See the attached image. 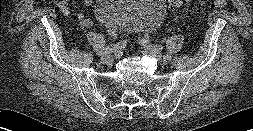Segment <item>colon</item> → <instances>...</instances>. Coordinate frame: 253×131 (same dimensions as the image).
I'll list each match as a JSON object with an SVG mask.
<instances>
[{
  "instance_id": "colon-1",
  "label": "colon",
  "mask_w": 253,
  "mask_h": 131,
  "mask_svg": "<svg viewBox=\"0 0 253 131\" xmlns=\"http://www.w3.org/2000/svg\"><path fill=\"white\" fill-rule=\"evenodd\" d=\"M187 0H168L169 7L171 9H179L182 7ZM210 6L213 8H224L227 6V0H211ZM107 33L110 38L115 39L117 37V32L114 29L109 28Z\"/></svg>"
}]
</instances>
